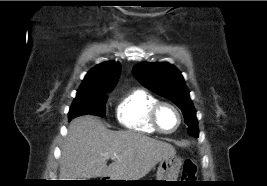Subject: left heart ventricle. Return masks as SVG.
Segmentation results:
<instances>
[{
  "label": "left heart ventricle",
  "instance_id": "left-heart-ventricle-1",
  "mask_svg": "<svg viewBox=\"0 0 267 186\" xmlns=\"http://www.w3.org/2000/svg\"><path fill=\"white\" fill-rule=\"evenodd\" d=\"M158 121L163 130L171 131L176 127L178 123V117L176 112L171 107L163 106L159 110Z\"/></svg>",
  "mask_w": 267,
  "mask_h": 186
}]
</instances>
